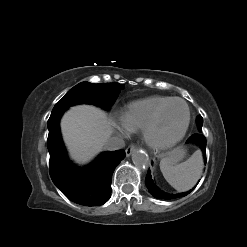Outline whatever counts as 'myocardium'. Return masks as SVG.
I'll return each instance as SVG.
<instances>
[{
  "label": "myocardium",
  "mask_w": 247,
  "mask_h": 247,
  "mask_svg": "<svg viewBox=\"0 0 247 247\" xmlns=\"http://www.w3.org/2000/svg\"><path fill=\"white\" fill-rule=\"evenodd\" d=\"M174 102H181L185 105L186 111H187V117H186L185 124L182 130L177 135L171 138H168V139L157 138L154 134V131L160 120V117L165 111V109ZM190 121H191V111H190V107L188 103L182 98H178V97L171 98L170 100L165 102L163 105H161L157 109V111L155 112L151 120L148 122L146 127L143 129L144 140L148 144V146H150L151 148L155 150H164V149L170 148L174 146L175 144H177L185 136L189 128Z\"/></svg>",
  "instance_id": "obj_1"
}]
</instances>
